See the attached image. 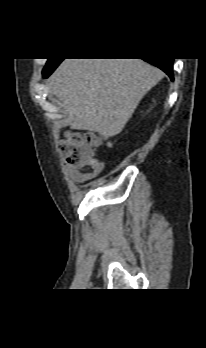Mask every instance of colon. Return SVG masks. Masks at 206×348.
<instances>
[{"mask_svg":"<svg viewBox=\"0 0 206 348\" xmlns=\"http://www.w3.org/2000/svg\"><path fill=\"white\" fill-rule=\"evenodd\" d=\"M105 139L92 133H69L59 144V152L66 162L75 168L93 162L94 149Z\"/></svg>","mask_w":206,"mask_h":348,"instance_id":"colon-1","label":"colon"}]
</instances>
